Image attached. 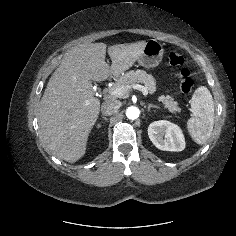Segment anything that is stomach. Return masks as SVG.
Segmentation results:
<instances>
[{
  "label": "stomach",
  "instance_id": "1",
  "mask_svg": "<svg viewBox=\"0 0 236 236\" xmlns=\"http://www.w3.org/2000/svg\"><path fill=\"white\" fill-rule=\"evenodd\" d=\"M164 49L160 42L155 39L149 40L140 57L138 63L145 68H153L159 65L163 58Z\"/></svg>",
  "mask_w": 236,
  "mask_h": 236
}]
</instances>
